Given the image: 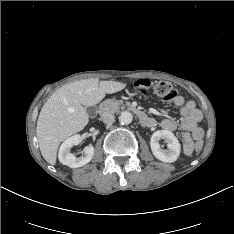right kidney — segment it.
Listing matches in <instances>:
<instances>
[{
  "label": "right kidney",
  "instance_id": "ca27d5eb",
  "mask_svg": "<svg viewBox=\"0 0 234 234\" xmlns=\"http://www.w3.org/2000/svg\"><path fill=\"white\" fill-rule=\"evenodd\" d=\"M82 141V137L79 134H75L66 139L60 146L58 158L59 161L67 165L70 168H78L89 163L94 155V147L89 146L84 150V154L80 157H76L70 153L73 146L79 145Z\"/></svg>",
  "mask_w": 234,
  "mask_h": 234
}]
</instances>
